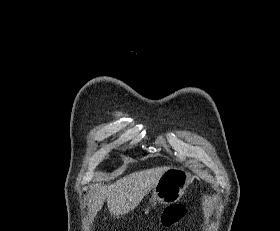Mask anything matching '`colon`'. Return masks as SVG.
<instances>
[{
    "label": "colon",
    "mask_w": 280,
    "mask_h": 231,
    "mask_svg": "<svg viewBox=\"0 0 280 231\" xmlns=\"http://www.w3.org/2000/svg\"><path fill=\"white\" fill-rule=\"evenodd\" d=\"M178 208H166L163 211L162 225H173V220H182L183 215L189 212L188 208L184 206H177Z\"/></svg>",
    "instance_id": "colon-1"
}]
</instances>
